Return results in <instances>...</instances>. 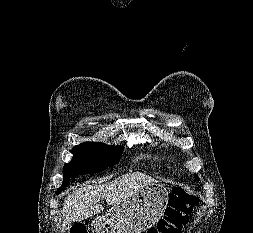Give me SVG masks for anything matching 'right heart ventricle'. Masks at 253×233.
Here are the masks:
<instances>
[{"instance_id": "e07e8e85", "label": "right heart ventricle", "mask_w": 253, "mask_h": 233, "mask_svg": "<svg viewBox=\"0 0 253 233\" xmlns=\"http://www.w3.org/2000/svg\"><path fill=\"white\" fill-rule=\"evenodd\" d=\"M157 160L155 158H151L148 160V165H150L152 168H155L157 166Z\"/></svg>"}]
</instances>
